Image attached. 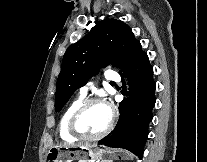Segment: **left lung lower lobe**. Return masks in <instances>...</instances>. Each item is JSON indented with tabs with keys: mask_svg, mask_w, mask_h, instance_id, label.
<instances>
[{
	"mask_svg": "<svg viewBox=\"0 0 207 162\" xmlns=\"http://www.w3.org/2000/svg\"><path fill=\"white\" fill-rule=\"evenodd\" d=\"M125 72L130 82V99L120 104V119L116 128L99 144L124 148L141 158L155 105L153 68L147 54L141 53Z\"/></svg>",
	"mask_w": 207,
	"mask_h": 162,
	"instance_id": "left-lung-lower-lobe-1",
	"label": "left lung lower lobe"
}]
</instances>
